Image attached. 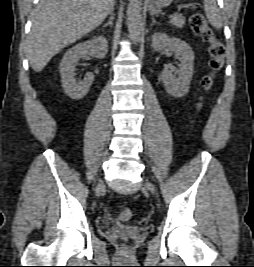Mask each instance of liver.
I'll use <instances>...</instances> for the list:
<instances>
[{
  "label": "liver",
  "instance_id": "liver-1",
  "mask_svg": "<svg viewBox=\"0 0 254 267\" xmlns=\"http://www.w3.org/2000/svg\"><path fill=\"white\" fill-rule=\"evenodd\" d=\"M113 6L114 0H40L28 39L32 69L41 72L63 48L99 26Z\"/></svg>",
  "mask_w": 254,
  "mask_h": 267
}]
</instances>
